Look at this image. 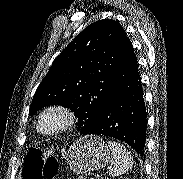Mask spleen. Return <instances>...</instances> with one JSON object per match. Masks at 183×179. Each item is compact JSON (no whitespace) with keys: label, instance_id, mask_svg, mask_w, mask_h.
Returning a JSON list of instances; mask_svg holds the SVG:
<instances>
[{"label":"spleen","instance_id":"1","mask_svg":"<svg viewBox=\"0 0 183 179\" xmlns=\"http://www.w3.org/2000/svg\"><path fill=\"white\" fill-rule=\"evenodd\" d=\"M110 150V163L109 169L110 176H119L133 167V158L128 150L120 143L115 141H108Z\"/></svg>","mask_w":183,"mask_h":179}]
</instances>
